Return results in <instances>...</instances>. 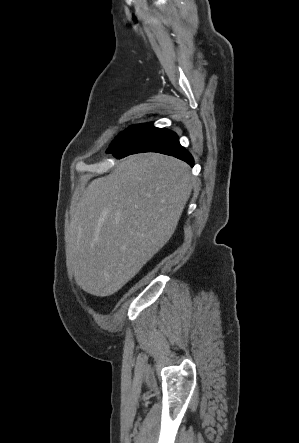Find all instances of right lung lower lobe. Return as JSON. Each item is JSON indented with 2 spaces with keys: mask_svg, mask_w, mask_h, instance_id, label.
Here are the masks:
<instances>
[{
  "mask_svg": "<svg viewBox=\"0 0 299 443\" xmlns=\"http://www.w3.org/2000/svg\"><path fill=\"white\" fill-rule=\"evenodd\" d=\"M142 152H158L171 155L194 165L191 154L179 143L178 136L152 124H137L127 128L108 148L117 158Z\"/></svg>",
  "mask_w": 299,
  "mask_h": 443,
  "instance_id": "obj_1",
  "label": "right lung lower lobe"
}]
</instances>
